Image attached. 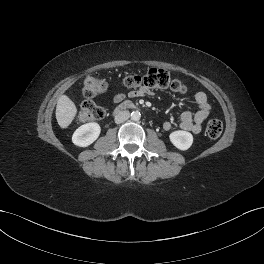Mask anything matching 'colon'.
Wrapping results in <instances>:
<instances>
[{"mask_svg":"<svg viewBox=\"0 0 264 264\" xmlns=\"http://www.w3.org/2000/svg\"><path fill=\"white\" fill-rule=\"evenodd\" d=\"M128 88L139 89H171L176 92L185 91L183 83L164 69L151 68L144 75L131 74L123 79ZM106 89V82L95 76H88L83 83V95L88 99L84 102L79 117L84 121L104 118V107L95 104L90 99ZM223 131V124L218 119H211L206 126V133L212 139L218 138Z\"/></svg>","mask_w":264,"mask_h":264,"instance_id":"1","label":"colon"}]
</instances>
